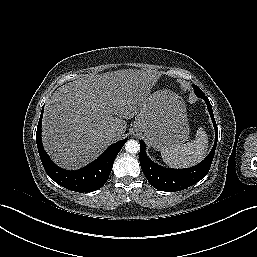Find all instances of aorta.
<instances>
[{"label": "aorta", "mask_w": 257, "mask_h": 257, "mask_svg": "<svg viewBox=\"0 0 257 257\" xmlns=\"http://www.w3.org/2000/svg\"><path fill=\"white\" fill-rule=\"evenodd\" d=\"M125 150L128 153L135 154L140 150V145L136 140H128L125 144Z\"/></svg>", "instance_id": "1"}]
</instances>
